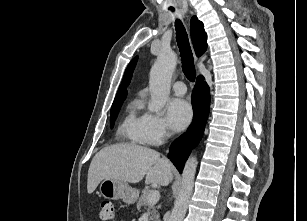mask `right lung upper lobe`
I'll return each instance as SVG.
<instances>
[{
  "label": "right lung upper lobe",
  "instance_id": "obj_1",
  "mask_svg": "<svg viewBox=\"0 0 307 221\" xmlns=\"http://www.w3.org/2000/svg\"><path fill=\"white\" fill-rule=\"evenodd\" d=\"M191 37L197 56H201L207 49V35L206 32L204 31L203 23L199 21L196 16H193L191 19ZM136 62H137V57H135L129 63L124 73L122 83L119 86L114 102L123 101L125 99L127 95L126 88L130 83Z\"/></svg>",
  "mask_w": 307,
  "mask_h": 221
}]
</instances>
